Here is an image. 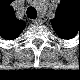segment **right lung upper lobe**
Masks as SVG:
<instances>
[{"instance_id":"cb5924a9","label":"right lung upper lobe","mask_w":80,"mask_h":80,"mask_svg":"<svg viewBox=\"0 0 80 80\" xmlns=\"http://www.w3.org/2000/svg\"><path fill=\"white\" fill-rule=\"evenodd\" d=\"M24 23L17 20L14 12L7 8L2 11L0 19V31L4 38L12 40L15 39L23 30Z\"/></svg>"}]
</instances>
